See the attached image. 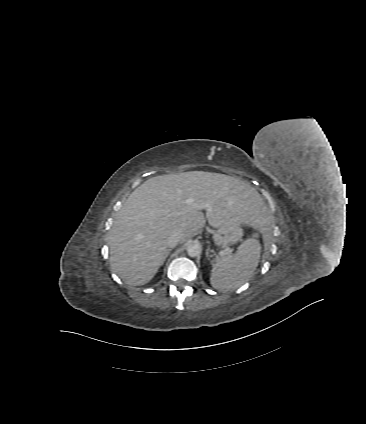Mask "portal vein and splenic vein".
<instances>
[{"label": "portal vein and splenic vein", "instance_id": "portal-vein-and-splenic-vein-1", "mask_svg": "<svg viewBox=\"0 0 366 424\" xmlns=\"http://www.w3.org/2000/svg\"><path fill=\"white\" fill-rule=\"evenodd\" d=\"M199 209H207L209 207L208 204H200L197 206Z\"/></svg>", "mask_w": 366, "mask_h": 424}]
</instances>
